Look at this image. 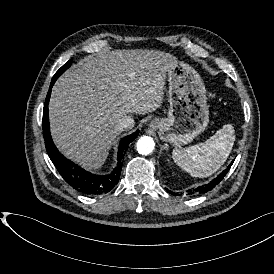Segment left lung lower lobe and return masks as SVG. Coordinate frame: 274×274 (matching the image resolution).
Returning <instances> with one entry per match:
<instances>
[{"instance_id":"0a47b994","label":"left lung lower lobe","mask_w":274,"mask_h":274,"mask_svg":"<svg viewBox=\"0 0 274 274\" xmlns=\"http://www.w3.org/2000/svg\"><path fill=\"white\" fill-rule=\"evenodd\" d=\"M234 161V160H233ZM233 161L230 163V165L227 167L230 169L231 165L233 164ZM228 170H224L222 173H220L215 179H213L210 183L200 186L196 189V192L199 193H206L213 189L214 186L219 184V182L224 178V176L227 174ZM167 190V189H166ZM169 192V190H167Z\"/></svg>"}]
</instances>
